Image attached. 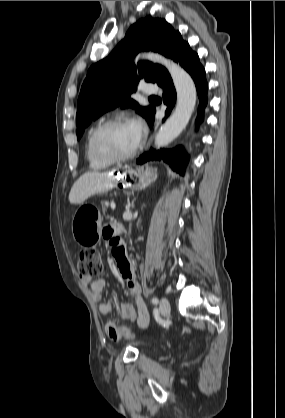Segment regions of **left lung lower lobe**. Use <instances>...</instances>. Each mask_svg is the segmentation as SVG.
Instances as JSON below:
<instances>
[{"label": "left lung lower lobe", "instance_id": "0a47b994", "mask_svg": "<svg viewBox=\"0 0 285 418\" xmlns=\"http://www.w3.org/2000/svg\"><path fill=\"white\" fill-rule=\"evenodd\" d=\"M171 58L180 63V65L191 75L195 82L200 101L197 122L200 123L203 121V112L207 104L208 84L205 77V70L200 64L197 53L193 52L190 49L189 44L182 39L175 44L172 50ZM157 84L163 88V101L167 105L165 116L168 117L176 102V90L171 76L166 69H164L159 76ZM154 114L149 122L150 127H152L154 123ZM153 160H163L168 163L173 170L184 174V168L188 162V156L185 154L182 147H176L172 150L160 149L158 151L151 149L149 152L140 156L137 159V163L143 164L147 161Z\"/></svg>", "mask_w": 285, "mask_h": 418}]
</instances>
